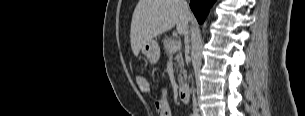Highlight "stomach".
Listing matches in <instances>:
<instances>
[{
  "mask_svg": "<svg viewBox=\"0 0 305 116\" xmlns=\"http://www.w3.org/2000/svg\"><path fill=\"white\" fill-rule=\"evenodd\" d=\"M141 51L151 64H156L160 58V47L156 40L151 39L144 43Z\"/></svg>",
  "mask_w": 305,
  "mask_h": 116,
  "instance_id": "stomach-1",
  "label": "stomach"
}]
</instances>
